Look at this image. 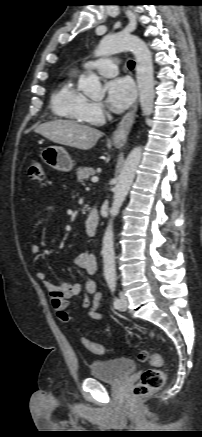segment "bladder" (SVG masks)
I'll list each match as a JSON object with an SVG mask.
<instances>
[{"instance_id":"31cf9c89","label":"bladder","mask_w":202,"mask_h":437,"mask_svg":"<svg viewBox=\"0 0 202 437\" xmlns=\"http://www.w3.org/2000/svg\"><path fill=\"white\" fill-rule=\"evenodd\" d=\"M135 370V361L126 357L94 361L89 365V372L93 378L109 383L120 382L134 373Z\"/></svg>"}]
</instances>
